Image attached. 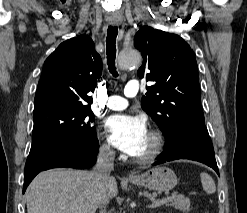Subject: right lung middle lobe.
<instances>
[{"label":"right lung middle lobe","instance_id":"right-lung-middle-lobe-1","mask_svg":"<svg viewBox=\"0 0 247 213\" xmlns=\"http://www.w3.org/2000/svg\"><path fill=\"white\" fill-rule=\"evenodd\" d=\"M94 118L91 109L85 107L55 105L34 111L31 149L70 135L85 147L93 146L98 141L96 129L91 125Z\"/></svg>","mask_w":247,"mask_h":213}]
</instances>
